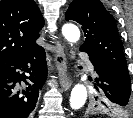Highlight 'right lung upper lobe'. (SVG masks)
<instances>
[{
    "label": "right lung upper lobe",
    "instance_id": "1",
    "mask_svg": "<svg viewBox=\"0 0 133 118\" xmlns=\"http://www.w3.org/2000/svg\"><path fill=\"white\" fill-rule=\"evenodd\" d=\"M43 25V17L33 0H1L0 66L38 48L35 41Z\"/></svg>",
    "mask_w": 133,
    "mask_h": 118
}]
</instances>
